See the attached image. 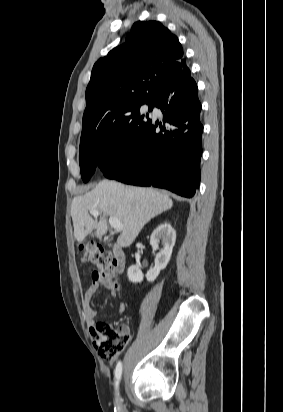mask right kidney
Instances as JSON below:
<instances>
[{
  "label": "right kidney",
  "mask_w": 283,
  "mask_h": 412,
  "mask_svg": "<svg viewBox=\"0 0 283 412\" xmlns=\"http://www.w3.org/2000/svg\"><path fill=\"white\" fill-rule=\"evenodd\" d=\"M175 240L176 232L168 223L159 225L153 231L150 238V244L153 252L158 251V253L155 255V266L146 274L147 281L153 282L158 277L160 271L166 268L172 255ZM160 241L162 247L159 246ZM128 279L132 283L142 282L143 273L139 266L131 265L129 267Z\"/></svg>",
  "instance_id": "right-kidney-1"
}]
</instances>
